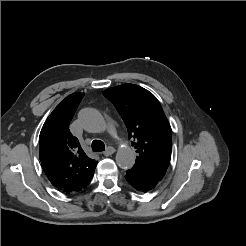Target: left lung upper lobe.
<instances>
[{
    "label": "left lung upper lobe",
    "mask_w": 246,
    "mask_h": 246,
    "mask_svg": "<svg viewBox=\"0 0 246 246\" xmlns=\"http://www.w3.org/2000/svg\"><path fill=\"white\" fill-rule=\"evenodd\" d=\"M121 115L138 154L133 167L161 181L171 158V127L156 97L148 90L124 84L103 92Z\"/></svg>",
    "instance_id": "5c2ea615"
}]
</instances>
